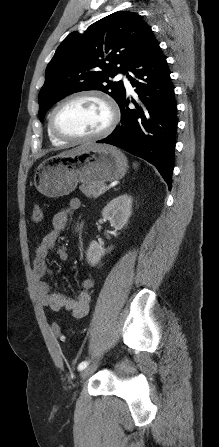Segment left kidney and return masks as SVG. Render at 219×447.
Here are the masks:
<instances>
[{
    "label": "left kidney",
    "mask_w": 219,
    "mask_h": 447,
    "mask_svg": "<svg viewBox=\"0 0 219 447\" xmlns=\"http://www.w3.org/2000/svg\"><path fill=\"white\" fill-rule=\"evenodd\" d=\"M132 200V197L127 194L114 198L103 208V218L108 220L114 229L121 230L127 224L132 214ZM112 249L113 246L106 250L96 241H92L87 250L86 259L91 266H95L105 253L110 252Z\"/></svg>",
    "instance_id": "obj_1"
}]
</instances>
